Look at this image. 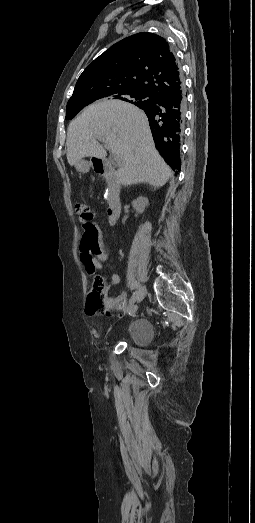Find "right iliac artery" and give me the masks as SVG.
I'll use <instances>...</instances> for the list:
<instances>
[{"label":"right iliac artery","instance_id":"right-iliac-artery-1","mask_svg":"<svg viewBox=\"0 0 255 523\" xmlns=\"http://www.w3.org/2000/svg\"><path fill=\"white\" fill-rule=\"evenodd\" d=\"M136 297H137V292H134L133 295L131 296L130 300H129V303L132 304L135 302L136 300Z\"/></svg>","mask_w":255,"mask_h":523}]
</instances>
